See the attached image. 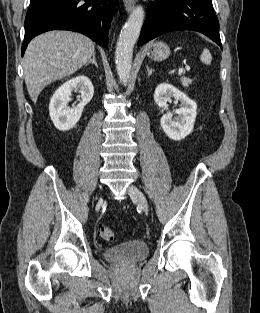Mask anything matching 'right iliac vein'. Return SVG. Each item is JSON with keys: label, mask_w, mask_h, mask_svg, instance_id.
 I'll return each instance as SVG.
<instances>
[{"label": "right iliac vein", "mask_w": 260, "mask_h": 313, "mask_svg": "<svg viewBox=\"0 0 260 313\" xmlns=\"http://www.w3.org/2000/svg\"><path fill=\"white\" fill-rule=\"evenodd\" d=\"M99 203H102V199L101 198L99 199Z\"/></svg>", "instance_id": "63e3f726"}]
</instances>
